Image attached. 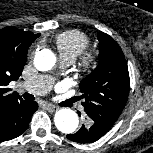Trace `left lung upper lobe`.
Segmentation results:
<instances>
[{
    "label": "left lung upper lobe",
    "instance_id": "obj_1",
    "mask_svg": "<svg viewBox=\"0 0 153 153\" xmlns=\"http://www.w3.org/2000/svg\"><path fill=\"white\" fill-rule=\"evenodd\" d=\"M99 64L80 83L82 102L90 122L108 131L123 111L129 94V72L122 49L99 32Z\"/></svg>",
    "mask_w": 153,
    "mask_h": 153
}]
</instances>
